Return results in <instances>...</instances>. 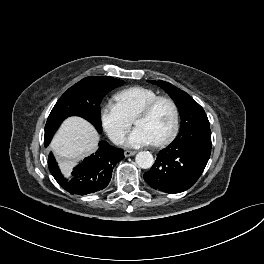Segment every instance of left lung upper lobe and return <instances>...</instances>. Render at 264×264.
Wrapping results in <instances>:
<instances>
[{
	"label": "left lung upper lobe",
	"instance_id": "obj_1",
	"mask_svg": "<svg viewBox=\"0 0 264 264\" xmlns=\"http://www.w3.org/2000/svg\"><path fill=\"white\" fill-rule=\"evenodd\" d=\"M149 82L163 88L179 109L181 126L176 139L187 137L198 130L210 129L205 111L189 94L165 81L150 80Z\"/></svg>",
	"mask_w": 264,
	"mask_h": 264
}]
</instances>
